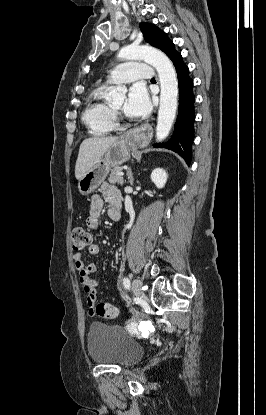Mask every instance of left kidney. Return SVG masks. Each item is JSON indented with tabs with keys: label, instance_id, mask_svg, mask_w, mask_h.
Returning <instances> with one entry per match:
<instances>
[{
	"label": "left kidney",
	"instance_id": "obj_1",
	"mask_svg": "<svg viewBox=\"0 0 266 415\" xmlns=\"http://www.w3.org/2000/svg\"><path fill=\"white\" fill-rule=\"evenodd\" d=\"M168 175L165 170L162 168H156L151 173V180L156 185L158 189H161L165 186L167 182Z\"/></svg>",
	"mask_w": 266,
	"mask_h": 415
}]
</instances>
